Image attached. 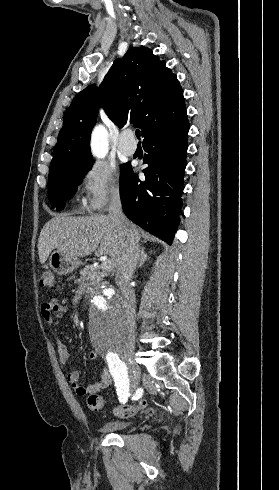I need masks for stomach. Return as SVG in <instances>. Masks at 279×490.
<instances>
[{"label":"stomach","instance_id":"stomach-1","mask_svg":"<svg viewBox=\"0 0 279 490\" xmlns=\"http://www.w3.org/2000/svg\"><path fill=\"white\" fill-rule=\"evenodd\" d=\"M49 266L53 272L59 274V276H66V274H72L74 270H77L80 266V260L78 258H72L62 252H52L49 256Z\"/></svg>","mask_w":279,"mask_h":490}]
</instances>
